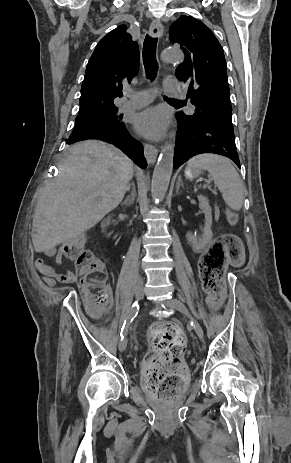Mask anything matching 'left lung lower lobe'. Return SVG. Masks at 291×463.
Instances as JSON below:
<instances>
[{
	"mask_svg": "<svg viewBox=\"0 0 291 463\" xmlns=\"http://www.w3.org/2000/svg\"><path fill=\"white\" fill-rule=\"evenodd\" d=\"M176 117L180 127L174 149V169L204 153L228 157L240 168L233 129L188 119L181 113L176 114Z\"/></svg>",
	"mask_w": 291,
	"mask_h": 463,
	"instance_id": "1",
	"label": "left lung lower lobe"
}]
</instances>
